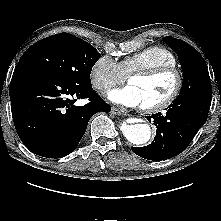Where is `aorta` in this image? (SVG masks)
Listing matches in <instances>:
<instances>
[{
  "mask_svg": "<svg viewBox=\"0 0 221 221\" xmlns=\"http://www.w3.org/2000/svg\"><path fill=\"white\" fill-rule=\"evenodd\" d=\"M121 131L124 137L135 145L146 144L151 138V128L145 123L121 124Z\"/></svg>",
  "mask_w": 221,
  "mask_h": 221,
  "instance_id": "1",
  "label": "aorta"
}]
</instances>
